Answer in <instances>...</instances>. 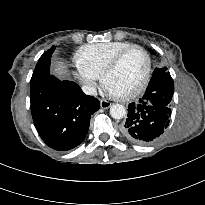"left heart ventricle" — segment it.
Segmentation results:
<instances>
[{
	"instance_id": "obj_1",
	"label": "left heart ventricle",
	"mask_w": 205,
	"mask_h": 205,
	"mask_svg": "<svg viewBox=\"0 0 205 205\" xmlns=\"http://www.w3.org/2000/svg\"><path fill=\"white\" fill-rule=\"evenodd\" d=\"M146 70L144 55L133 50L120 62L118 67L107 77L106 87L115 95H124L134 90L141 82Z\"/></svg>"
}]
</instances>
